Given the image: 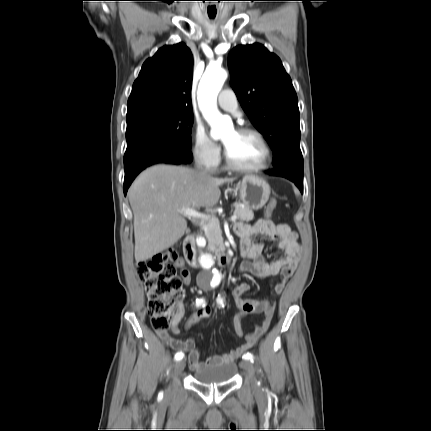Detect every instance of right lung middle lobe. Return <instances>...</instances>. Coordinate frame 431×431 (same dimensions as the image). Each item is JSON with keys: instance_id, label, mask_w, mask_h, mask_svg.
Returning a JSON list of instances; mask_svg holds the SVG:
<instances>
[{"instance_id": "dd1d6c3e", "label": "right lung middle lobe", "mask_w": 431, "mask_h": 431, "mask_svg": "<svg viewBox=\"0 0 431 431\" xmlns=\"http://www.w3.org/2000/svg\"><path fill=\"white\" fill-rule=\"evenodd\" d=\"M192 113L151 112L127 118V145L149 136H161L191 148Z\"/></svg>"}]
</instances>
